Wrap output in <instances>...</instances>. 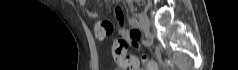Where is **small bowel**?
<instances>
[{
	"label": "small bowel",
	"mask_w": 238,
	"mask_h": 70,
	"mask_svg": "<svg viewBox=\"0 0 238 70\" xmlns=\"http://www.w3.org/2000/svg\"><path fill=\"white\" fill-rule=\"evenodd\" d=\"M82 10L91 18H97L98 13L93 10L92 8H90L87 4L86 0H79L78 1ZM114 14H115V18H116V22L118 25H122L123 24V12L121 10L120 7H116L114 9ZM113 29V25L111 22L109 21H98L95 26H94V33L95 36L98 39H104L106 36H108ZM122 33H130V31L128 30H121V34ZM129 44H126V50Z\"/></svg>",
	"instance_id": "obj_1"
}]
</instances>
